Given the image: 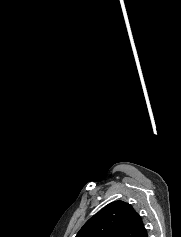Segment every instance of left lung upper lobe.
Masks as SVG:
<instances>
[{"instance_id":"1","label":"left lung upper lobe","mask_w":181,"mask_h":237,"mask_svg":"<svg viewBox=\"0 0 181 237\" xmlns=\"http://www.w3.org/2000/svg\"><path fill=\"white\" fill-rule=\"evenodd\" d=\"M146 231L140 215L123 201H114L92 216L76 237H142Z\"/></svg>"}]
</instances>
